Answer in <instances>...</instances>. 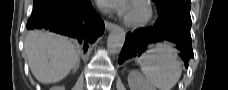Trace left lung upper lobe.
I'll use <instances>...</instances> for the list:
<instances>
[{
  "label": "left lung upper lobe",
  "instance_id": "1",
  "mask_svg": "<svg viewBox=\"0 0 228 90\" xmlns=\"http://www.w3.org/2000/svg\"><path fill=\"white\" fill-rule=\"evenodd\" d=\"M159 15H173L184 17L190 14L191 0H153Z\"/></svg>",
  "mask_w": 228,
  "mask_h": 90
}]
</instances>
